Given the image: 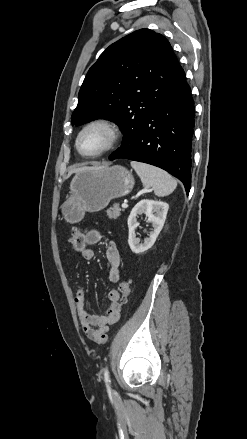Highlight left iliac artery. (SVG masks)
Returning a JSON list of instances; mask_svg holds the SVG:
<instances>
[{
    "label": "left iliac artery",
    "mask_w": 247,
    "mask_h": 439,
    "mask_svg": "<svg viewBox=\"0 0 247 439\" xmlns=\"http://www.w3.org/2000/svg\"><path fill=\"white\" fill-rule=\"evenodd\" d=\"M104 381L106 384L110 383L109 370L108 367L104 368Z\"/></svg>",
    "instance_id": "obj_1"
}]
</instances>
